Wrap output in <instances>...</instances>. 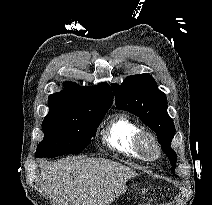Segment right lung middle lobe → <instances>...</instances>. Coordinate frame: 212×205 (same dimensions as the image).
<instances>
[{
  "instance_id": "obj_1",
  "label": "right lung middle lobe",
  "mask_w": 212,
  "mask_h": 205,
  "mask_svg": "<svg viewBox=\"0 0 212 205\" xmlns=\"http://www.w3.org/2000/svg\"><path fill=\"white\" fill-rule=\"evenodd\" d=\"M110 105L73 108L55 116H46L42 122L44 139L35 156L57 157L78 154L95 136L97 127Z\"/></svg>"
}]
</instances>
